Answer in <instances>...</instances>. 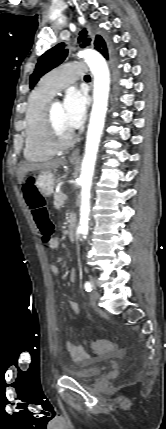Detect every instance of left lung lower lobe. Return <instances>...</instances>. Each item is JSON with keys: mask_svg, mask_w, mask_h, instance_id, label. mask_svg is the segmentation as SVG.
Listing matches in <instances>:
<instances>
[{"mask_svg": "<svg viewBox=\"0 0 166 429\" xmlns=\"http://www.w3.org/2000/svg\"><path fill=\"white\" fill-rule=\"evenodd\" d=\"M100 53H101L105 58H108V53H107V49H106V47H105V48H102V50L100 51Z\"/></svg>", "mask_w": 166, "mask_h": 429, "instance_id": "0a47b994", "label": "left lung lower lobe"}]
</instances>
